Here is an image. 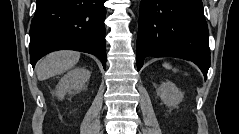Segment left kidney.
Segmentation results:
<instances>
[{"mask_svg": "<svg viewBox=\"0 0 239 134\" xmlns=\"http://www.w3.org/2000/svg\"><path fill=\"white\" fill-rule=\"evenodd\" d=\"M157 95L168 107H176L183 100V93L170 81L161 83Z\"/></svg>", "mask_w": 239, "mask_h": 134, "instance_id": "5707ae66", "label": "left kidney"}]
</instances>
